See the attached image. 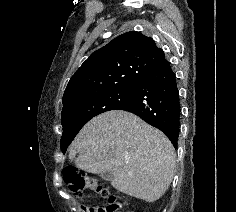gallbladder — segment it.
I'll return each mask as SVG.
<instances>
[{"mask_svg":"<svg viewBox=\"0 0 236 212\" xmlns=\"http://www.w3.org/2000/svg\"><path fill=\"white\" fill-rule=\"evenodd\" d=\"M100 177L106 181H111L114 177L112 170H107L100 174Z\"/></svg>","mask_w":236,"mask_h":212,"instance_id":"gallbladder-1","label":"gallbladder"}]
</instances>
